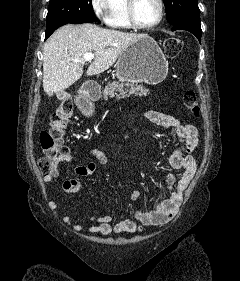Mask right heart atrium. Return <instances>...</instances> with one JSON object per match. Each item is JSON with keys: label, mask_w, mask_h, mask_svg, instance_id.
I'll return each mask as SVG.
<instances>
[{"label": "right heart atrium", "mask_w": 240, "mask_h": 281, "mask_svg": "<svg viewBox=\"0 0 240 281\" xmlns=\"http://www.w3.org/2000/svg\"><path fill=\"white\" fill-rule=\"evenodd\" d=\"M89 3L95 16L106 21L110 11V0H90Z\"/></svg>", "instance_id": "right-heart-atrium-1"}]
</instances>
